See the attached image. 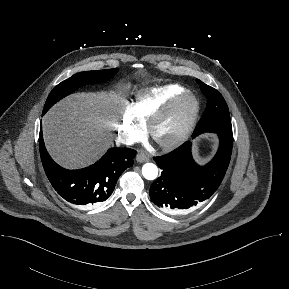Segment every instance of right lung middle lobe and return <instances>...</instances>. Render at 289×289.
<instances>
[{"label": "right lung middle lobe", "instance_id": "obj_1", "mask_svg": "<svg viewBox=\"0 0 289 289\" xmlns=\"http://www.w3.org/2000/svg\"><path fill=\"white\" fill-rule=\"evenodd\" d=\"M117 71L118 69L80 72L73 75L69 79L64 80L63 82L55 86L51 91L50 95L46 100L43 114H45L49 110V108L57 101L71 94L77 88L86 84L108 81L116 74Z\"/></svg>", "mask_w": 289, "mask_h": 289}]
</instances>
